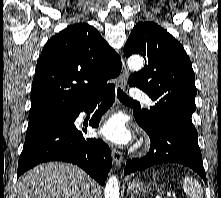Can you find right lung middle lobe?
Segmentation results:
<instances>
[{"instance_id":"dd1d6c3e","label":"right lung middle lobe","mask_w":221,"mask_h":198,"mask_svg":"<svg viewBox=\"0 0 221 198\" xmlns=\"http://www.w3.org/2000/svg\"><path fill=\"white\" fill-rule=\"evenodd\" d=\"M72 115L73 114H63V115H57V116L49 117L46 119H42V120L35 121V122H30L28 124L26 136L34 133L35 131L39 129L48 127L56 123L68 122L72 118Z\"/></svg>"}]
</instances>
